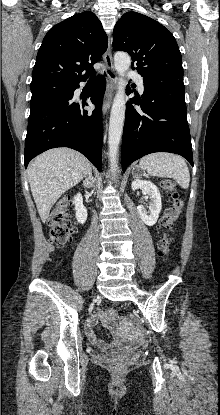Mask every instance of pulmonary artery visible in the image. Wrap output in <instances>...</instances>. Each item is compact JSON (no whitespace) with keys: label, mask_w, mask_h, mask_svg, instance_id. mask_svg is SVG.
<instances>
[{"label":"pulmonary artery","mask_w":220,"mask_h":415,"mask_svg":"<svg viewBox=\"0 0 220 415\" xmlns=\"http://www.w3.org/2000/svg\"><path fill=\"white\" fill-rule=\"evenodd\" d=\"M128 76L135 80V82L137 83L138 89L142 92L144 90L142 76L136 72H128Z\"/></svg>","instance_id":"e3ab8cb5"}]
</instances>
